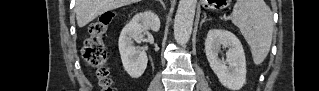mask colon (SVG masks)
I'll return each instance as SVG.
<instances>
[{"label": "colon", "instance_id": "1", "mask_svg": "<svg viewBox=\"0 0 319 91\" xmlns=\"http://www.w3.org/2000/svg\"><path fill=\"white\" fill-rule=\"evenodd\" d=\"M113 19L112 13H104L90 26V35L85 40L82 56L92 69L103 91H111L112 83L106 68L107 55L104 47V35Z\"/></svg>", "mask_w": 319, "mask_h": 91}]
</instances>
